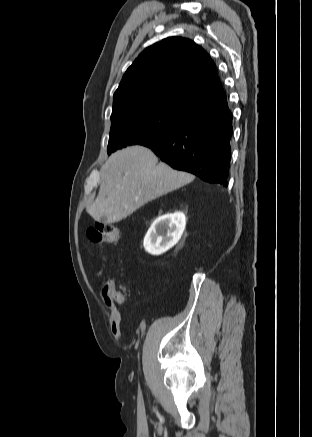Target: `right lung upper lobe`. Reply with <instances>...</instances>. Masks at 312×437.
Returning <instances> with one entry per match:
<instances>
[{
    "mask_svg": "<svg viewBox=\"0 0 312 437\" xmlns=\"http://www.w3.org/2000/svg\"><path fill=\"white\" fill-rule=\"evenodd\" d=\"M224 95L205 50L189 39L169 37L145 49L127 69L114 93L113 111L161 102L194 112Z\"/></svg>",
    "mask_w": 312,
    "mask_h": 437,
    "instance_id": "1",
    "label": "right lung upper lobe"
}]
</instances>
